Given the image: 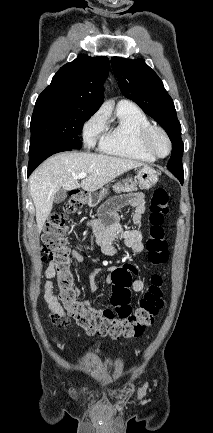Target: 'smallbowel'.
Here are the masks:
<instances>
[{"instance_id":"c3829d8e","label":"small bowel","mask_w":213,"mask_h":433,"mask_svg":"<svg viewBox=\"0 0 213 433\" xmlns=\"http://www.w3.org/2000/svg\"><path fill=\"white\" fill-rule=\"evenodd\" d=\"M129 205L134 209L132 216V222L134 228L124 229L119 222V216L114 210L105 211L100 219L92 220L88 225L94 232V242L100 246L101 251L106 256H115L118 253L117 248L114 245V240L117 237H121L126 247L131 249L134 253H141L144 251L143 244V231L141 229V223L143 214L145 212V199L141 193H134L129 195L125 201H117L114 206ZM70 262H86V257L77 250L70 251ZM132 270L133 276L138 274V268L133 264L125 265ZM118 267L110 266L108 262H104L103 266H94L91 277L90 287L92 291L97 290L96 277L103 272L107 271L106 281L108 284L112 283L111 275L112 272ZM57 277V272L53 264L45 271V283H44V299L49 307L50 312L58 317L66 316V312L62 307L57 295L55 294V285L53 280ZM130 289L133 292H142L145 289V282L143 279H135L132 281ZM85 304L91 306V301L86 300ZM99 312L112 310L111 307L105 306L102 303H98V308L94 309Z\"/></svg>"}]
</instances>
